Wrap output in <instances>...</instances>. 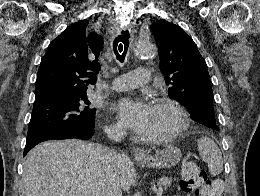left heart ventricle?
Returning a JSON list of instances; mask_svg holds the SVG:
<instances>
[{
    "label": "left heart ventricle",
    "mask_w": 260,
    "mask_h": 196,
    "mask_svg": "<svg viewBox=\"0 0 260 196\" xmlns=\"http://www.w3.org/2000/svg\"><path fill=\"white\" fill-rule=\"evenodd\" d=\"M178 116L167 106L152 103V113L147 132L160 134L178 124Z\"/></svg>",
    "instance_id": "b2bd125f"
}]
</instances>
